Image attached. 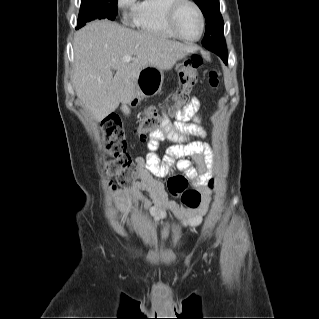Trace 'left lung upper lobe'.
<instances>
[{
  "instance_id": "1",
  "label": "left lung upper lobe",
  "mask_w": 319,
  "mask_h": 319,
  "mask_svg": "<svg viewBox=\"0 0 319 319\" xmlns=\"http://www.w3.org/2000/svg\"><path fill=\"white\" fill-rule=\"evenodd\" d=\"M206 18V30L202 44L216 53L227 64V48L223 35L224 22L220 14L219 0H193Z\"/></svg>"
}]
</instances>
